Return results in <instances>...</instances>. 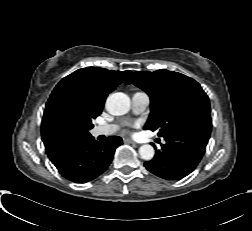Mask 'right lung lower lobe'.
<instances>
[{
  "mask_svg": "<svg viewBox=\"0 0 252 231\" xmlns=\"http://www.w3.org/2000/svg\"><path fill=\"white\" fill-rule=\"evenodd\" d=\"M121 144L122 139L118 136H110L106 142H97L91 135L80 137L65 144L52 163L66 179L85 183L107 169L115 149Z\"/></svg>",
  "mask_w": 252,
  "mask_h": 231,
  "instance_id": "obj_1",
  "label": "right lung lower lobe"
}]
</instances>
